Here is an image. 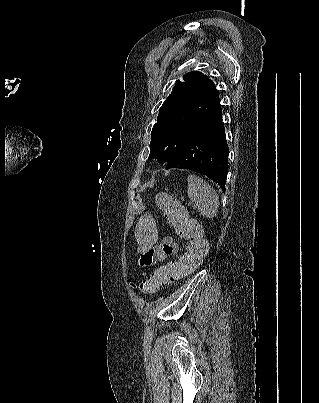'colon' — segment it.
Here are the masks:
<instances>
[{
	"instance_id": "colon-1",
	"label": "colon",
	"mask_w": 319,
	"mask_h": 403,
	"mask_svg": "<svg viewBox=\"0 0 319 403\" xmlns=\"http://www.w3.org/2000/svg\"><path fill=\"white\" fill-rule=\"evenodd\" d=\"M157 202L165 210L177 235L186 241V249L176 262L156 269L141 283L139 290L146 295L155 293L162 284L172 283L192 272L208 252V242L202 237L199 224L186 216L184 209L173 197L159 194ZM134 226L136 227L134 251L145 252L146 249L156 247V243H160L161 221H157L156 218H135ZM140 263L144 265L141 261ZM130 288L132 292H138L136 282H131Z\"/></svg>"
}]
</instances>
